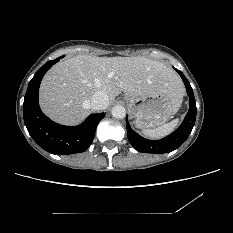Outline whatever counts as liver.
I'll return each instance as SVG.
<instances>
[{"label": "liver", "instance_id": "1", "mask_svg": "<svg viewBox=\"0 0 233 233\" xmlns=\"http://www.w3.org/2000/svg\"><path fill=\"white\" fill-rule=\"evenodd\" d=\"M97 91L107 94L109 104L121 91L137 96L161 92L178 107L184 96L178 74L162 62L145 57L78 55L60 61L46 73L39 102L55 122L76 125L89 115Z\"/></svg>", "mask_w": 233, "mask_h": 233}]
</instances>
